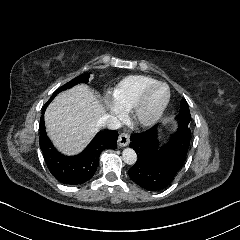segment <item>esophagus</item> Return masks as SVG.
Here are the masks:
<instances>
[{
    "instance_id": "1",
    "label": "esophagus",
    "mask_w": 240,
    "mask_h": 240,
    "mask_svg": "<svg viewBox=\"0 0 240 240\" xmlns=\"http://www.w3.org/2000/svg\"><path fill=\"white\" fill-rule=\"evenodd\" d=\"M130 137L128 133H121L118 137V146L119 147H125L129 144Z\"/></svg>"
}]
</instances>
